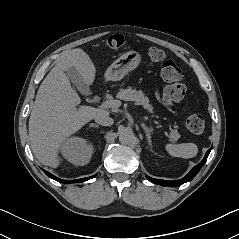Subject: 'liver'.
I'll list each match as a JSON object with an SVG mask.
<instances>
[{"mask_svg":"<svg viewBox=\"0 0 239 239\" xmlns=\"http://www.w3.org/2000/svg\"><path fill=\"white\" fill-rule=\"evenodd\" d=\"M74 68L91 85L96 69L87 53L76 48L65 52L41 83L33 105L28 133L35 157L46 166L58 167L63 142L93 120L102 109L80 106L66 71Z\"/></svg>","mask_w":239,"mask_h":239,"instance_id":"liver-1","label":"liver"}]
</instances>
